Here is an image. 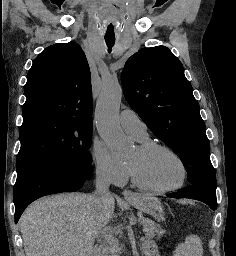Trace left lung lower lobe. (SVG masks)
<instances>
[{"label":"left lung lower lobe","instance_id":"left-lung-lower-lobe-1","mask_svg":"<svg viewBox=\"0 0 236 256\" xmlns=\"http://www.w3.org/2000/svg\"><path fill=\"white\" fill-rule=\"evenodd\" d=\"M172 198H189L206 203L212 210L217 209L216 187L206 184H194L178 192L167 195Z\"/></svg>","mask_w":236,"mask_h":256}]
</instances>
